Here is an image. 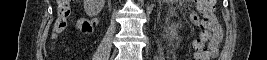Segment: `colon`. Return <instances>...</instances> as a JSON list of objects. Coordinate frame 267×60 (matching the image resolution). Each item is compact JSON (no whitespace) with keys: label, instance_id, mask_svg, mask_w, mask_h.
<instances>
[{"label":"colon","instance_id":"5ec220e1","mask_svg":"<svg viewBox=\"0 0 267 60\" xmlns=\"http://www.w3.org/2000/svg\"><path fill=\"white\" fill-rule=\"evenodd\" d=\"M71 1L59 0L57 1V13L58 17L54 23L53 30L55 33L60 34L65 32L70 26V14H71ZM216 0H197L196 7L200 14V20L202 24V31L207 29L210 19L213 17V11L215 8ZM82 28L92 29V25L84 23ZM195 52L194 57L197 60L208 59V48L205 47V42L200 38L195 40Z\"/></svg>","mask_w":267,"mask_h":60}]
</instances>
